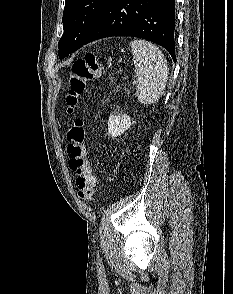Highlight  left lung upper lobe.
<instances>
[{"instance_id": "left-lung-upper-lobe-1", "label": "left lung upper lobe", "mask_w": 233, "mask_h": 294, "mask_svg": "<svg viewBox=\"0 0 233 294\" xmlns=\"http://www.w3.org/2000/svg\"><path fill=\"white\" fill-rule=\"evenodd\" d=\"M111 0H66L63 11L64 33L58 43L64 58L81 48Z\"/></svg>"}]
</instances>
